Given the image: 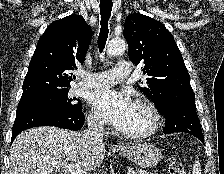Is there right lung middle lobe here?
Returning a JSON list of instances; mask_svg holds the SVG:
<instances>
[{"label": "right lung middle lobe", "instance_id": "dd1d6c3e", "mask_svg": "<svg viewBox=\"0 0 224 174\" xmlns=\"http://www.w3.org/2000/svg\"><path fill=\"white\" fill-rule=\"evenodd\" d=\"M69 87H46L27 94H22L18 106L25 104H42L61 112L82 110V104L69 95Z\"/></svg>", "mask_w": 224, "mask_h": 174}]
</instances>
